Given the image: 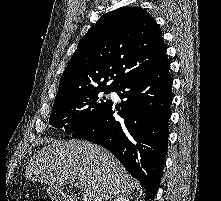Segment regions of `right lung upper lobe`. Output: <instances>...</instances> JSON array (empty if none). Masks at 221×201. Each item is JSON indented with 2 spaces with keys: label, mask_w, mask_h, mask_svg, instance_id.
<instances>
[{
  "label": "right lung upper lobe",
  "mask_w": 221,
  "mask_h": 201,
  "mask_svg": "<svg viewBox=\"0 0 221 201\" xmlns=\"http://www.w3.org/2000/svg\"><path fill=\"white\" fill-rule=\"evenodd\" d=\"M165 52L160 29L144 9L121 7L106 13L79 41L56 99L94 88L114 90L159 67L167 60Z\"/></svg>",
  "instance_id": "1"
}]
</instances>
